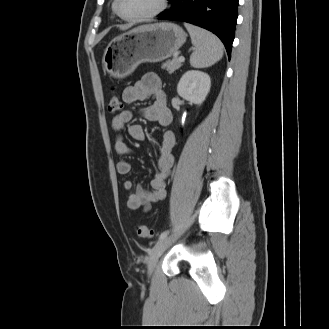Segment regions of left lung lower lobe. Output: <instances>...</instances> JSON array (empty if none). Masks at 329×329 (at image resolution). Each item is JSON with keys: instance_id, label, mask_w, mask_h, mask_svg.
<instances>
[{"instance_id": "obj_1", "label": "left lung lower lobe", "mask_w": 329, "mask_h": 329, "mask_svg": "<svg viewBox=\"0 0 329 329\" xmlns=\"http://www.w3.org/2000/svg\"><path fill=\"white\" fill-rule=\"evenodd\" d=\"M172 7L159 20L188 22L216 34L231 57L238 17V0H169Z\"/></svg>"}]
</instances>
